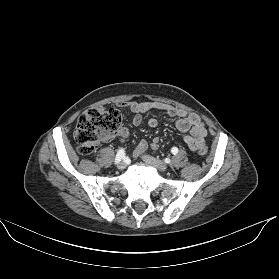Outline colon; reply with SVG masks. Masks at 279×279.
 I'll return each mask as SVG.
<instances>
[{"mask_svg":"<svg viewBox=\"0 0 279 279\" xmlns=\"http://www.w3.org/2000/svg\"><path fill=\"white\" fill-rule=\"evenodd\" d=\"M121 115L116 109H89L77 120L75 140L80 154L88 155L94 151L98 143L110 139L119 130ZM197 152L206 155L208 149L200 147Z\"/></svg>","mask_w":279,"mask_h":279,"instance_id":"obj_1","label":"colon"}]
</instances>
